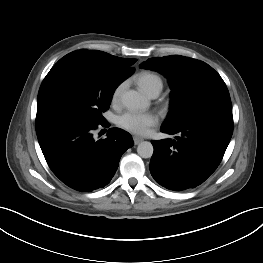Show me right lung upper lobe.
<instances>
[{
  "label": "right lung upper lobe",
  "mask_w": 263,
  "mask_h": 263,
  "mask_svg": "<svg viewBox=\"0 0 263 263\" xmlns=\"http://www.w3.org/2000/svg\"><path fill=\"white\" fill-rule=\"evenodd\" d=\"M65 58H81L89 60L101 65L113 67L120 69L128 74H133L134 69L130 68L132 64L136 62V59L130 58H120L102 51H88V50H78L64 56Z\"/></svg>",
  "instance_id": "cb5924a9"
}]
</instances>
